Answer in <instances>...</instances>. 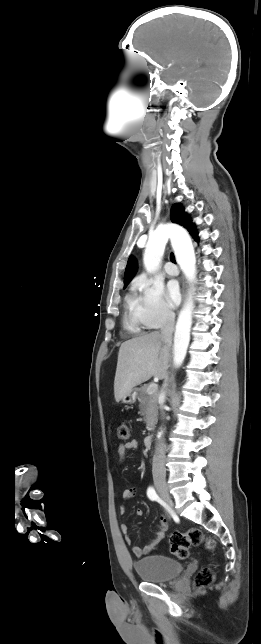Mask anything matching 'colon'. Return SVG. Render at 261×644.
I'll list each match as a JSON object with an SVG mask.
<instances>
[{
  "label": "colon",
  "mask_w": 261,
  "mask_h": 644,
  "mask_svg": "<svg viewBox=\"0 0 261 644\" xmlns=\"http://www.w3.org/2000/svg\"><path fill=\"white\" fill-rule=\"evenodd\" d=\"M118 438L127 440L130 437L129 427L126 423H121L117 429ZM171 552L180 559L188 556L191 546L204 544L208 550L215 548L214 540L205 537L197 528H192L187 532H173L169 538ZM213 572L209 568L202 569L196 576L195 585L197 588L208 586L213 581Z\"/></svg>",
  "instance_id": "colon-1"
}]
</instances>
